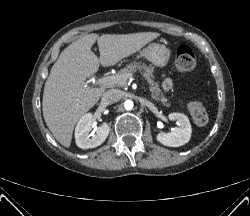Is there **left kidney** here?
Wrapping results in <instances>:
<instances>
[{
	"label": "left kidney",
	"mask_w": 250,
	"mask_h": 216,
	"mask_svg": "<svg viewBox=\"0 0 250 216\" xmlns=\"http://www.w3.org/2000/svg\"><path fill=\"white\" fill-rule=\"evenodd\" d=\"M168 118L176 120L178 127L173 128L170 133H158L157 140L169 147H179L188 143L192 133L188 117L181 113H170Z\"/></svg>",
	"instance_id": "obj_1"
}]
</instances>
